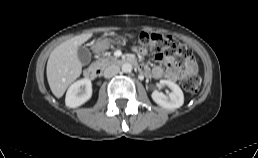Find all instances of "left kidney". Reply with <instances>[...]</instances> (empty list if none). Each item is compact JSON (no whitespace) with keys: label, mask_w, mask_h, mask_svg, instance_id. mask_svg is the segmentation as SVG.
<instances>
[{"label":"left kidney","mask_w":258,"mask_h":158,"mask_svg":"<svg viewBox=\"0 0 258 158\" xmlns=\"http://www.w3.org/2000/svg\"><path fill=\"white\" fill-rule=\"evenodd\" d=\"M160 86H168L171 92L166 96L162 92L154 90L151 97L155 103L166 109H177L183 105L184 94L176 83L170 80H160Z\"/></svg>","instance_id":"5707ae66"}]
</instances>
